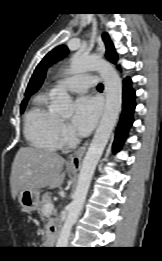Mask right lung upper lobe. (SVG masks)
Returning a JSON list of instances; mask_svg holds the SVG:
<instances>
[{
  "mask_svg": "<svg viewBox=\"0 0 162 261\" xmlns=\"http://www.w3.org/2000/svg\"><path fill=\"white\" fill-rule=\"evenodd\" d=\"M45 77V74L42 76V78L29 90V91H26V98L23 100V101H26L28 100L29 96H31L32 94H34L41 86L42 82H43V79ZM22 101V102H23Z\"/></svg>",
  "mask_w": 162,
  "mask_h": 261,
  "instance_id": "obj_1",
  "label": "right lung upper lobe"
}]
</instances>
